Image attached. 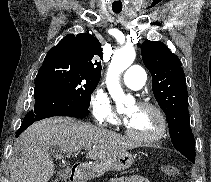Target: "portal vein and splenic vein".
<instances>
[{"label": "portal vein and splenic vein", "instance_id": "portal-vein-and-splenic-vein-1", "mask_svg": "<svg viewBox=\"0 0 211 182\" xmlns=\"http://www.w3.org/2000/svg\"><path fill=\"white\" fill-rule=\"evenodd\" d=\"M93 147H94V146H93ZM85 149H86V150H90V149H91V147H86Z\"/></svg>", "mask_w": 211, "mask_h": 182}]
</instances>
